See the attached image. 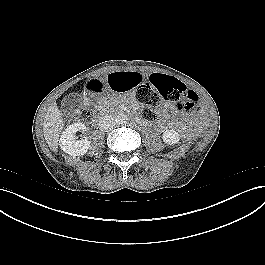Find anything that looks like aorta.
Returning <instances> with one entry per match:
<instances>
[{"label":"aorta","instance_id":"aorta-1","mask_svg":"<svg viewBox=\"0 0 265 265\" xmlns=\"http://www.w3.org/2000/svg\"><path fill=\"white\" fill-rule=\"evenodd\" d=\"M126 117L122 114H117L114 117V121L116 124H123L125 123Z\"/></svg>","mask_w":265,"mask_h":265}]
</instances>
